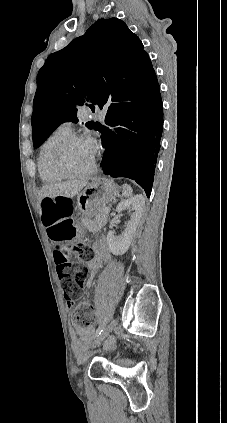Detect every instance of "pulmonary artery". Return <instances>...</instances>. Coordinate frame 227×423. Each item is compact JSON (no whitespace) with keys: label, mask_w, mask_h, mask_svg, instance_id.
<instances>
[{"label":"pulmonary artery","mask_w":227,"mask_h":423,"mask_svg":"<svg viewBox=\"0 0 227 423\" xmlns=\"http://www.w3.org/2000/svg\"><path fill=\"white\" fill-rule=\"evenodd\" d=\"M78 118L80 120H92L93 119V112L92 111H80L78 113ZM61 128L68 131L69 133H73V125L71 122H65L61 125Z\"/></svg>","instance_id":"pulmonary-artery-1"}]
</instances>
